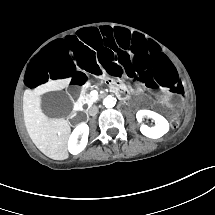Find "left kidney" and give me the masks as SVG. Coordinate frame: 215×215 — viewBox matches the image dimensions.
<instances>
[{
	"instance_id": "left-kidney-1",
	"label": "left kidney",
	"mask_w": 215,
	"mask_h": 215,
	"mask_svg": "<svg viewBox=\"0 0 215 215\" xmlns=\"http://www.w3.org/2000/svg\"><path fill=\"white\" fill-rule=\"evenodd\" d=\"M145 116L155 120V126L149 127L147 125H141L140 131L146 137L157 139L165 135L169 131V123L162 115L151 110H139L136 113L138 122L142 121Z\"/></svg>"
}]
</instances>
